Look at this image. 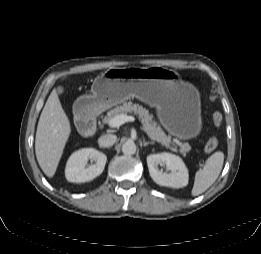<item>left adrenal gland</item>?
Instances as JSON below:
<instances>
[{
	"label": "left adrenal gland",
	"instance_id": "obj_1",
	"mask_svg": "<svg viewBox=\"0 0 261 254\" xmlns=\"http://www.w3.org/2000/svg\"><path fill=\"white\" fill-rule=\"evenodd\" d=\"M149 144H154V142H152V141H145V139H143V146L145 147V146H147V145H149Z\"/></svg>",
	"mask_w": 261,
	"mask_h": 254
}]
</instances>
